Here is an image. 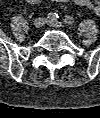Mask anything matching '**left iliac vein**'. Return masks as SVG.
Here are the masks:
<instances>
[{
	"label": "left iliac vein",
	"instance_id": "left-iliac-vein-1",
	"mask_svg": "<svg viewBox=\"0 0 100 118\" xmlns=\"http://www.w3.org/2000/svg\"><path fill=\"white\" fill-rule=\"evenodd\" d=\"M46 23L52 27H55V28H61L62 27L61 22H58V21L47 20Z\"/></svg>",
	"mask_w": 100,
	"mask_h": 118
}]
</instances>
